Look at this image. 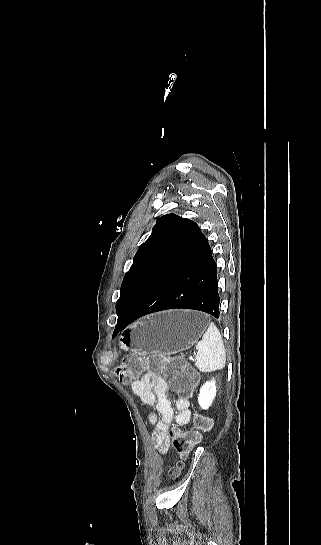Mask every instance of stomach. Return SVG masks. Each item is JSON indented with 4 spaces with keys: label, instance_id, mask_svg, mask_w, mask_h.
<instances>
[{
    "label": "stomach",
    "instance_id": "1",
    "mask_svg": "<svg viewBox=\"0 0 321 545\" xmlns=\"http://www.w3.org/2000/svg\"><path fill=\"white\" fill-rule=\"evenodd\" d=\"M207 327V317L197 311L174 309L153 313L122 331L119 349L130 353L175 355L193 347Z\"/></svg>",
    "mask_w": 321,
    "mask_h": 545
}]
</instances>
